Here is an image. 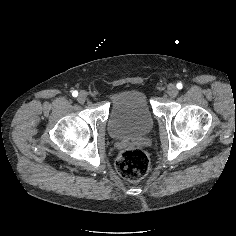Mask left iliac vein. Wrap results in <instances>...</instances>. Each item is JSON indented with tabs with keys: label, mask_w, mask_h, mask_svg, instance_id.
<instances>
[{
	"label": "left iliac vein",
	"mask_w": 236,
	"mask_h": 236,
	"mask_svg": "<svg viewBox=\"0 0 236 236\" xmlns=\"http://www.w3.org/2000/svg\"><path fill=\"white\" fill-rule=\"evenodd\" d=\"M167 92L171 98H175L178 95V89L176 88L174 84L168 85Z\"/></svg>",
	"instance_id": "1"
}]
</instances>
